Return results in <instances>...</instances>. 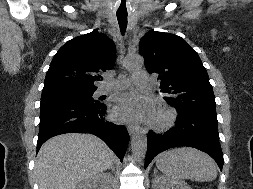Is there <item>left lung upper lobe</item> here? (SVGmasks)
<instances>
[{"label":"left lung upper lobe","mask_w":253,"mask_h":189,"mask_svg":"<svg viewBox=\"0 0 253 189\" xmlns=\"http://www.w3.org/2000/svg\"><path fill=\"white\" fill-rule=\"evenodd\" d=\"M149 73L158 74L161 93L177 111L216 116L213 88L196 51L181 37L151 30L140 41Z\"/></svg>","instance_id":"obj_1"}]
</instances>
